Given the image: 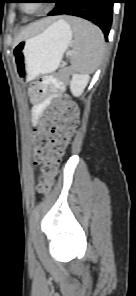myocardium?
<instances>
[{"mask_svg":"<svg viewBox=\"0 0 136 296\" xmlns=\"http://www.w3.org/2000/svg\"><path fill=\"white\" fill-rule=\"evenodd\" d=\"M22 9L25 10V6H24V4H22ZM35 10H36V9H35ZM35 10L30 11L29 13H33V12H35Z\"/></svg>","mask_w":136,"mask_h":296,"instance_id":"myocardium-1","label":"myocardium"}]
</instances>
